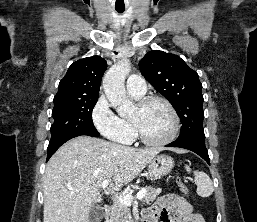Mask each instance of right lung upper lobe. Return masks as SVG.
Listing matches in <instances>:
<instances>
[{
	"label": "right lung upper lobe",
	"instance_id": "right-lung-upper-lobe-1",
	"mask_svg": "<svg viewBox=\"0 0 257 222\" xmlns=\"http://www.w3.org/2000/svg\"><path fill=\"white\" fill-rule=\"evenodd\" d=\"M106 68L107 63L100 56L87 57L74 62L60 81L53 101L98 96L101 79Z\"/></svg>",
	"mask_w": 257,
	"mask_h": 222
}]
</instances>
